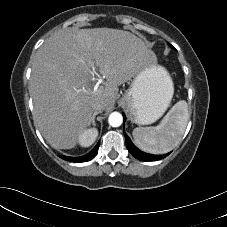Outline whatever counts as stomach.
<instances>
[{"instance_id": "obj_1", "label": "stomach", "mask_w": 227, "mask_h": 227, "mask_svg": "<svg viewBox=\"0 0 227 227\" xmlns=\"http://www.w3.org/2000/svg\"><path fill=\"white\" fill-rule=\"evenodd\" d=\"M173 94V81L166 68L149 63L134 76L121 103L133 123L149 125L164 114Z\"/></svg>"}]
</instances>
